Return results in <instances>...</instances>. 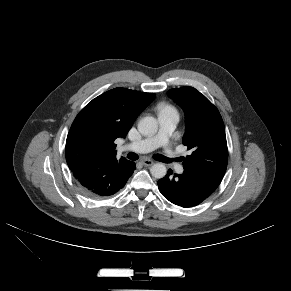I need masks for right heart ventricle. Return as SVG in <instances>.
<instances>
[{"mask_svg":"<svg viewBox=\"0 0 291 291\" xmlns=\"http://www.w3.org/2000/svg\"><path fill=\"white\" fill-rule=\"evenodd\" d=\"M157 110L159 112V115L164 114V113H171V112L177 113L176 109L172 105H170L166 102H160L157 105Z\"/></svg>","mask_w":291,"mask_h":291,"instance_id":"obj_1","label":"right heart ventricle"}]
</instances>
